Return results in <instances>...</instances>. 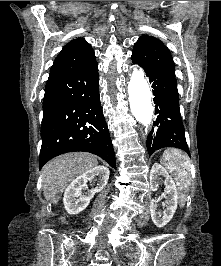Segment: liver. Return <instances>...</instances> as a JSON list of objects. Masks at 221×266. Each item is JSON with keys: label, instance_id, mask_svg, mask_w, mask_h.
Masks as SVG:
<instances>
[{"label": "liver", "instance_id": "liver-1", "mask_svg": "<svg viewBox=\"0 0 221 266\" xmlns=\"http://www.w3.org/2000/svg\"><path fill=\"white\" fill-rule=\"evenodd\" d=\"M97 164L95 155L83 152L67 153L49 161L42 170L45 199L56 204L71 181Z\"/></svg>", "mask_w": 221, "mask_h": 266}]
</instances>
